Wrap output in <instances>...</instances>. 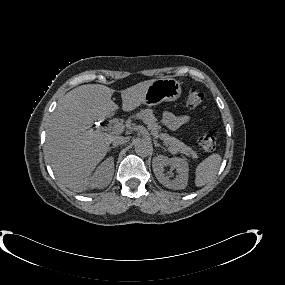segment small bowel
I'll list each match as a JSON object with an SVG mask.
<instances>
[{"instance_id": "1", "label": "small bowel", "mask_w": 285, "mask_h": 285, "mask_svg": "<svg viewBox=\"0 0 285 285\" xmlns=\"http://www.w3.org/2000/svg\"><path fill=\"white\" fill-rule=\"evenodd\" d=\"M190 120V117L188 115H176L174 113L166 112L162 116V123L163 125L170 129V130H176L179 127L187 124Z\"/></svg>"}]
</instances>
